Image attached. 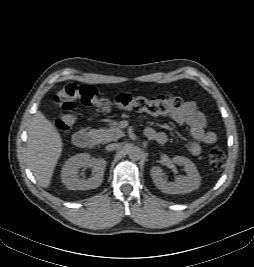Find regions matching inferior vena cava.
<instances>
[{
  "label": "inferior vena cava",
  "mask_w": 254,
  "mask_h": 267,
  "mask_svg": "<svg viewBox=\"0 0 254 267\" xmlns=\"http://www.w3.org/2000/svg\"><path fill=\"white\" fill-rule=\"evenodd\" d=\"M117 147H118L117 144H109V145L106 146V150L107 151H112V150H115Z\"/></svg>",
  "instance_id": "1"
}]
</instances>
